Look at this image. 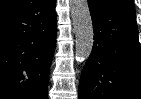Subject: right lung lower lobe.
I'll use <instances>...</instances> for the list:
<instances>
[{"label": "right lung lower lobe", "mask_w": 141, "mask_h": 99, "mask_svg": "<svg viewBox=\"0 0 141 99\" xmlns=\"http://www.w3.org/2000/svg\"><path fill=\"white\" fill-rule=\"evenodd\" d=\"M55 5V0H24L0 12V99H47Z\"/></svg>", "instance_id": "1"}]
</instances>
